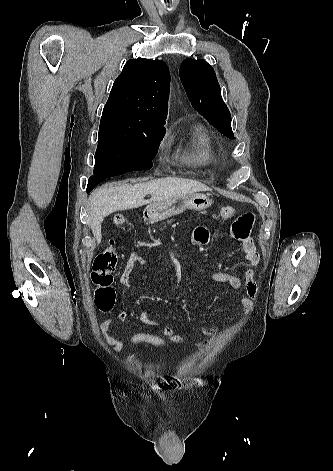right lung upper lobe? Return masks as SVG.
I'll use <instances>...</instances> for the list:
<instances>
[{
	"instance_id": "obj_1",
	"label": "right lung upper lobe",
	"mask_w": 333,
	"mask_h": 471,
	"mask_svg": "<svg viewBox=\"0 0 333 471\" xmlns=\"http://www.w3.org/2000/svg\"><path fill=\"white\" fill-rule=\"evenodd\" d=\"M169 86L165 62L128 60L114 81L101 119L165 124Z\"/></svg>"
}]
</instances>
